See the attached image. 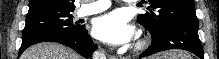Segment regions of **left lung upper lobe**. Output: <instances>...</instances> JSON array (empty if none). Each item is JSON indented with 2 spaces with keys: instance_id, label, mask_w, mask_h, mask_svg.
<instances>
[{
  "instance_id": "obj_1",
  "label": "left lung upper lobe",
  "mask_w": 219,
  "mask_h": 59,
  "mask_svg": "<svg viewBox=\"0 0 219 59\" xmlns=\"http://www.w3.org/2000/svg\"><path fill=\"white\" fill-rule=\"evenodd\" d=\"M150 12L140 14L138 23L155 34L164 32L177 21L196 17L194 0H149Z\"/></svg>"
}]
</instances>
